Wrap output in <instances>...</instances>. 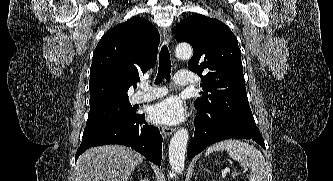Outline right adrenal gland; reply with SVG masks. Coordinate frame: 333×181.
Wrapping results in <instances>:
<instances>
[{
	"label": "right adrenal gland",
	"mask_w": 333,
	"mask_h": 181,
	"mask_svg": "<svg viewBox=\"0 0 333 181\" xmlns=\"http://www.w3.org/2000/svg\"><path fill=\"white\" fill-rule=\"evenodd\" d=\"M143 170L142 168H139V171Z\"/></svg>",
	"instance_id": "right-adrenal-gland-1"
}]
</instances>
